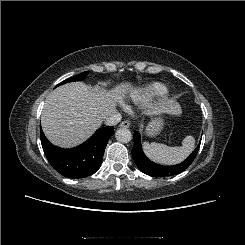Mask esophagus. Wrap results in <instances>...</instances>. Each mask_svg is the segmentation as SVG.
I'll return each instance as SVG.
<instances>
[{"label": "esophagus", "mask_w": 245, "mask_h": 245, "mask_svg": "<svg viewBox=\"0 0 245 245\" xmlns=\"http://www.w3.org/2000/svg\"><path fill=\"white\" fill-rule=\"evenodd\" d=\"M129 126H130V121L128 120H124L123 122L119 124V127H122V128H129Z\"/></svg>", "instance_id": "1"}]
</instances>
